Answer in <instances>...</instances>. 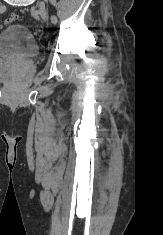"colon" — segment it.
Instances as JSON below:
<instances>
[{"instance_id": "obj_1", "label": "colon", "mask_w": 163, "mask_h": 235, "mask_svg": "<svg viewBox=\"0 0 163 235\" xmlns=\"http://www.w3.org/2000/svg\"><path fill=\"white\" fill-rule=\"evenodd\" d=\"M17 19H18V15L15 14V13H11L10 15H8V16L5 18L4 22H5L6 24H10V23L15 22Z\"/></svg>"}]
</instances>
